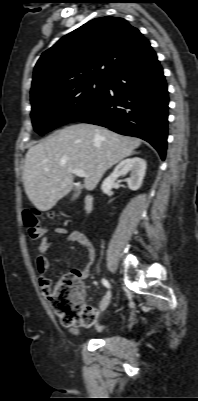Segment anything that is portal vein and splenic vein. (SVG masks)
I'll use <instances>...</instances> for the list:
<instances>
[{
    "label": "portal vein and splenic vein",
    "instance_id": "obj_1",
    "mask_svg": "<svg viewBox=\"0 0 198 401\" xmlns=\"http://www.w3.org/2000/svg\"><path fill=\"white\" fill-rule=\"evenodd\" d=\"M70 171L78 177H88L82 169H70Z\"/></svg>",
    "mask_w": 198,
    "mask_h": 401
}]
</instances>
